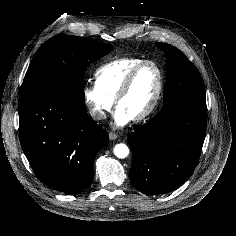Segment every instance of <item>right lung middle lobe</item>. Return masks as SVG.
Returning <instances> with one entry per match:
<instances>
[{
	"mask_svg": "<svg viewBox=\"0 0 236 236\" xmlns=\"http://www.w3.org/2000/svg\"><path fill=\"white\" fill-rule=\"evenodd\" d=\"M112 49L110 44L85 37L59 34L50 38L35 53L24 77L20 97L50 91L83 99L86 67Z\"/></svg>",
	"mask_w": 236,
	"mask_h": 236,
	"instance_id": "right-lung-middle-lobe-1",
	"label": "right lung middle lobe"
}]
</instances>
